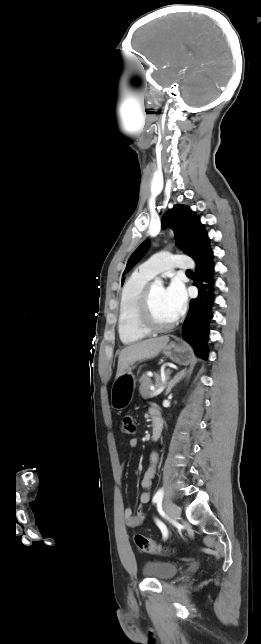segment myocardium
<instances>
[{
	"mask_svg": "<svg viewBox=\"0 0 261 644\" xmlns=\"http://www.w3.org/2000/svg\"><path fill=\"white\" fill-rule=\"evenodd\" d=\"M137 321L139 326L148 333L166 332L177 323V319L168 324H158L154 321L151 311V285H146L141 293L137 308Z\"/></svg>",
	"mask_w": 261,
	"mask_h": 644,
	"instance_id": "1",
	"label": "myocardium"
}]
</instances>
